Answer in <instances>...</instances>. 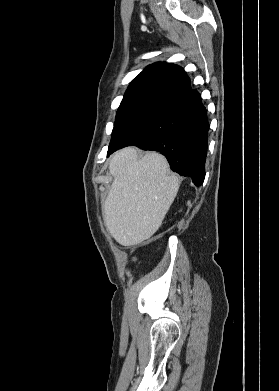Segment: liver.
I'll return each mask as SVG.
<instances>
[{
	"label": "liver",
	"instance_id": "obj_1",
	"mask_svg": "<svg viewBox=\"0 0 279 391\" xmlns=\"http://www.w3.org/2000/svg\"><path fill=\"white\" fill-rule=\"evenodd\" d=\"M113 183L103 205L107 230L123 246L149 239L159 229L173 203L180 181L166 158L135 147L116 152L109 164Z\"/></svg>",
	"mask_w": 279,
	"mask_h": 391
}]
</instances>
